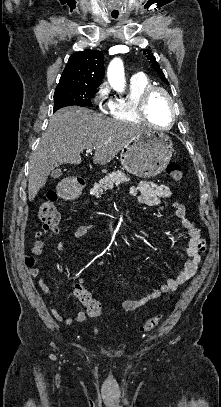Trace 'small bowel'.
Here are the masks:
<instances>
[{
    "label": "small bowel",
    "mask_w": 221,
    "mask_h": 407,
    "mask_svg": "<svg viewBox=\"0 0 221 407\" xmlns=\"http://www.w3.org/2000/svg\"><path fill=\"white\" fill-rule=\"evenodd\" d=\"M130 194L137 199L139 204L156 207L159 206L164 199L169 198L172 192L171 189L165 185L156 184L154 182H141L131 188ZM173 208L176 216L180 219L183 228L186 230L189 236L187 245V259L184 262L180 272L175 277L168 279L158 288L154 289L138 300L121 301L119 304V309L123 312H132L145 305L150 300L176 290L180 285L190 280L197 271L201 260V254L205 250V239L203 238L200 229L190 219H188L187 209L182 203L174 202ZM93 228V225L79 226L74 230L72 240H77L86 236ZM34 238L35 243L31 249V253L24 255V263L28 268V273L30 276L38 277V285L42 292L48 296H52L54 294V290L47 283L46 279L40 276V270L36 266L37 257L43 253L46 238L40 235L38 232L35 233ZM64 248L65 243L63 241H58L56 243V249L58 251H62ZM55 268L59 273L66 272V267L61 263H56ZM77 282L83 285L85 283V277H79ZM73 294L74 297L79 300L75 289ZM51 312L57 320L66 325H71L73 322H82L86 319V313L84 312H77L73 317H64L54 308L51 309Z\"/></svg>",
    "instance_id": "obj_1"
}]
</instances>
